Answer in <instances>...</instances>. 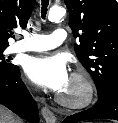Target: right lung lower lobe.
Segmentation results:
<instances>
[{
  "label": "right lung lower lobe",
  "instance_id": "obj_1",
  "mask_svg": "<svg viewBox=\"0 0 118 123\" xmlns=\"http://www.w3.org/2000/svg\"><path fill=\"white\" fill-rule=\"evenodd\" d=\"M0 104L31 123L39 122L36 102L20 78L19 68L8 75H0Z\"/></svg>",
  "mask_w": 118,
  "mask_h": 123
}]
</instances>
